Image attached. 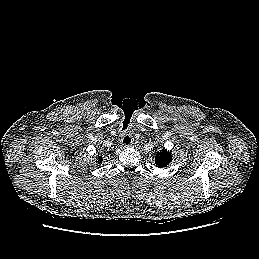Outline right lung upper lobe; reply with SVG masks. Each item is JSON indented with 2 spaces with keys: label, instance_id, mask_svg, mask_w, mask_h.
Segmentation results:
<instances>
[{
  "label": "right lung upper lobe",
  "instance_id": "right-lung-upper-lobe-1",
  "mask_svg": "<svg viewBox=\"0 0 259 259\" xmlns=\"http://www.w3.org/2000/svg\"><path fill=\"white\" fill-rule=\"evenodd\" d=\"M98 160H99V163H100V162H102L103 159H102L101 156H99Z\"/></svg>",
  "mask_w": 259,
  "mask_h": 259
}]
</instances>
